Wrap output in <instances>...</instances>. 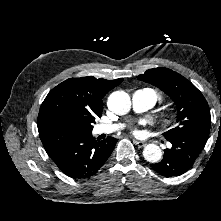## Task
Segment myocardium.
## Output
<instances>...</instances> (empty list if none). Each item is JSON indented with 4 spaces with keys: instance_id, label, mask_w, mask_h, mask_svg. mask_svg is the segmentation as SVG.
Returning <instances> with one entry per match:
<instances>
[{
    "instance_id": "myocardium-1",
    "label": "myocardium",
    "mask_w": 221,
    "mask_h": 221,
    "mask_svg": "<svg viewBox=\"0 0 221 221\" xmlns=\"http://www.w3.org/2000/svg\"><path fill=\"white\" fill-rule=\"evenodd\" d=\"M175 122V115L174 113H168L163 116L162 124L164 126H171Z\"/></svg>"
}]
</instances>
